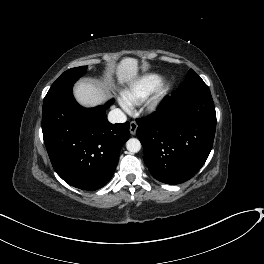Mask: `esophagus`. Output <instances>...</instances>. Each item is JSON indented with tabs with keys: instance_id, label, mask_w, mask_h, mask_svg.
I'll return each instance as SVG.
<instances>
[{
	"instance_id": "34e87169",
	"label": "esophagus",
	"mask_w": 264,
	"mask_h": 264,
	"mask_svg": "<svg viewBox=\"0 0 264 264\" xmlns=\"http://www.w3.org/2000/svg\"><path fill=\"white\" fill-rule=\"evenodd\" d=\"M137 127H138V125H137L136 122H134V121L130 122V129H129V131H130V134L131 135H135L136 134Z\"/></svg>"
}]
</instances>
